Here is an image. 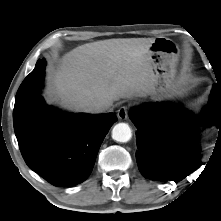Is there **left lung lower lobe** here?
<instances>
[{"mask_svg": "<svg viewBox=\"0 0 221 221\" xmlns=\"http://www.w3.org/2000/svg\"><path fill=\"white\" fill-rule=\"evenodd\" d=\"M130 119L137 127L136 160L141 174L157 181H180L199 168L200 150L193 139L194 121L185 120L178 108L170 104H150L136 107ZM201 121L219 128L221 143V86L214 84L209 103Z\"/></svg>", "mask_w": 221, "mask_h": 221, "instance_id": "left-lung-lower-lobe-1", "label": "left lung lower lobe"}]
</instances>
